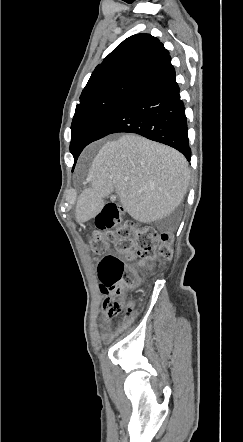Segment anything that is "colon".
I'll list each match as a JSON object with an SVG mask.
<instances>
[{
    "label": "colon",
    "mask_w": 243,
    "mask_h": 442,
    "mask_svg": "<svg viewBox=\"0 0 243 442\" xmlns=\"http://www.w3.org/2000/svg\"><path fill=\"white\" fill-rule=\"evenodd\" d=\"M96 229L90 245L97 256V272L100 290L107 297V308L113 313V327L128 324L135 315L133 303L127 292L135 288L140 273L135 266L109 253L111 247L125 259L139 258V266L147 260L170 259L173 254V240L169 233L158 232L153 227L133 230L129 220L123 217L117 200H110L95 217Z\"/></svg>",
    "instance_id": "1"
}]
</instances>
